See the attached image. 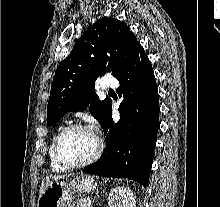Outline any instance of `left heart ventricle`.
<instances>
[{
  "label": "left heart ventricle",
  "mask_w": 220,
  "mask_h": 207,
  "mask_svg": "<svg viewBox=\"0 0 220 207\" xmlns=\"http://www.w3.org/2000/svg\"><path fill=\"white\" fill-rule=\"evenodd\" d=\"M96 149L94 136L85 130L67 132L59 142V154L67 163H77L88 159Z\"/></svg>",
  "instance_id": "b2bd125f"
}]
</instances>
